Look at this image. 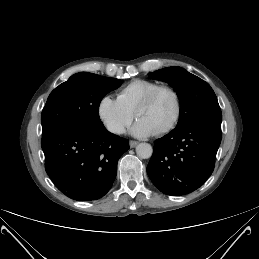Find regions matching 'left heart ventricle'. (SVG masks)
<instances>
[{"mask_svg":"<svg viewBox=\"0 0 259 259\" xmlns=\"http://www.w3.org/2000/svg\"><path fill=\"white\" fill-rule=\"evenodd\" d=\"M176 103L173 95L168 91L160 92L154 103L140 116L139 121L146 123L152 132L166 127L174 118Z\"/></svg>","mask_w":259,"mask_h":259,"instance_id":"obj_1","label":"left heart ventricle"}]
</instances>
